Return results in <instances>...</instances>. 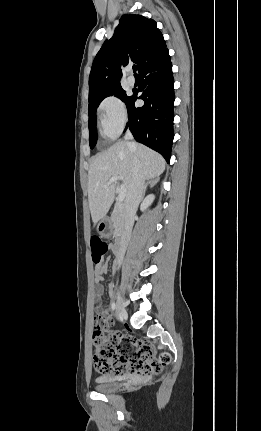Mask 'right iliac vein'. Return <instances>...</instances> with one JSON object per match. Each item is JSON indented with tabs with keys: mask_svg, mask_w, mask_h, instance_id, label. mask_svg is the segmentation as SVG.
<instances>
[{
	"mask_svg": "<svg viewBox=\"0 0 261 431\" xmlns=\"http://www.w3.org/2000/svg\"><path fill=\"white\" fill-rule=\"evenodd\" d=\"M126 310L123 302V298L120 293H117V301H116V316L117 318H126Z\"/></svg>",
	"mask_w": 261,
	"mask_h": 431,
	"instance_id": "63e3f726",
	"label": "right iliac vein"
}]
</instances>
